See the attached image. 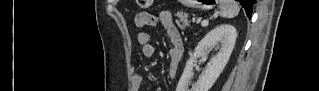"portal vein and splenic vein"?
I'll return each mask as SVG.
<instances>
[{"label": "portal vein and splenic vein", "instance_id": "obj_1", "mask_svg": "<svg viewBox=\"0 0 319 91\" xmlns=\"http://www.w3.org/2000/svg\"><path fill=\"white\" fill-rule=\"evenodd\" d=\"M201 25L204 26V27L207 26L208 25V21H206V20L202 21Z\"/></svg>", "mask_w": 319, "mask_h": 91}]
</instances>
